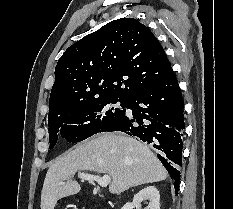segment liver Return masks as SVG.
Returning <instances> with one entry per match:
<instances>
[{
	"label": "liver",
	"mask_w": 233,
	"mask_h": 209,
	"mask_svg": "<svg viewBox=\"0 0 233 209\" xmlns=\"http://www.w3.org/2000/svg\"><path fill=\"white\" fill-rule=\"evenodd\" d=\"M80 171L108 174L112 178L109 185L112 194L159 182L168 176L143 143L122 134H99L58 157L50 166L41 192V209H54L59 199L77 194L80 185L73 177Z\"/></svg>",
	"instance_id": "liver-1"
}]
</instances>
